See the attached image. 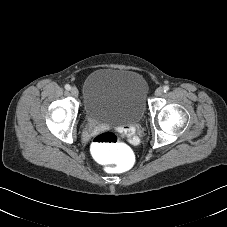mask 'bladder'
<instances>
[{"instance_id": "31cf9c89", "label": "bladder", "mask_w": 227, "mask_h": 227, "mask_svg": "<svg viewBox=\"0 0 227 227\" xmlns=\"http://www.w3.org/2000/svg\"><path fill=\"white\" fill-rule=\"evenodd\" d=\"M147 84L137 72L101 68L90 73L83 85L86 114L99 122L136 124L146 107Z\"/></svg>"}]
</instances>
